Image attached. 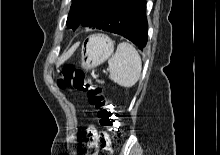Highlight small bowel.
<instances>
[{
	"label": "small bowel",
	"mask_w": 220,
	"mask_h": 155,
	"mask_svg": "<svg viewBox=\"0 0 220 155\" xmlns=\"http://www.w3.org/2000/svg\"><path fill=\"white\" fill-rule=\"evenodd\" d=\"M87 136H88V140H89L88 145L90 146L97 139L98 132L93 126H91L88 129Z\"/></svg>",
	"instance_id": "c3829d8e"
}]
</instances>
